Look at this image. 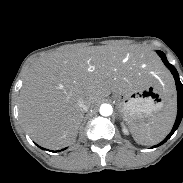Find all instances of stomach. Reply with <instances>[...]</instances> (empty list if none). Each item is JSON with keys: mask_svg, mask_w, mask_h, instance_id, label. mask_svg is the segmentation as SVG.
<instances>
[{"mask_svg": "<svg viewBox=\"0 0 183 183\" xmlns=\"http://www.w3.org/2000/svg\"><path fill=\"white\" fill-rule=\"evenodd\" d=\"M133 82L128 90L118 96V105L125 119L134 122L159 112L168 99L155 79L153 69L147 64L132 67Z\"/></svg>", "mask_w": 183, "mask_h": 183, "instance_id": "stomach-1", "label": "stomach"}]
</instances>
